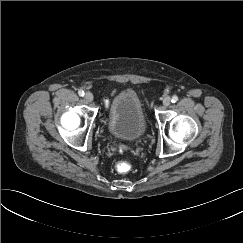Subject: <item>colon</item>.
<instances>
[{
  "label": "colon",
  "mask_w": 243,
  "mask_h": 243,
  "mask_svg": "<svg viewBox=\"0 0 243 243\" xmlns=\"http://www.w3.org/2000/svg\"><path fill=\"white\" fill-rule=\"evenodd\" d=\"M116 170L119 173H127L131 170V164L126 161H121L116 164Z\"/></svg>",
  "instance_id": "5ec220e1"
}]
</instances>
